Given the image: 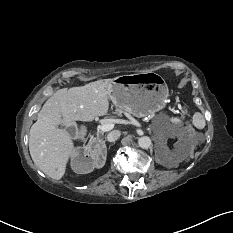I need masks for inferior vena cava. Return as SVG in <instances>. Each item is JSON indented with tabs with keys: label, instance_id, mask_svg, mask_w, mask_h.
Instances as JSON below:
<instances>
[{
	"label": "inferior vena cava",
	"instance_id": "602c4592",
	"mask_svg": "<svg viewBox=\"0 0 233 233\" xmlns=\"http://www.w3.org/2000/svg\"><path fill=\"white\" fill-rule=\"evenodd\" d=\"M121 133L119 130H114L107 135V140L109 142H114L120 137Z\"/></svg>",
	"mask_w": 233,
	"mask_h": 233
}]
</instances>
